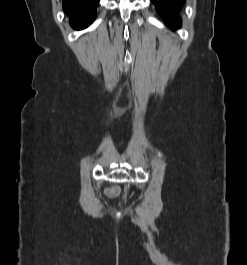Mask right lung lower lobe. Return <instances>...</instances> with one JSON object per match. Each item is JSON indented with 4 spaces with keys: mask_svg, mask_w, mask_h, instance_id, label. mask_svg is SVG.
Returning a JSON list of instances; mask_svg holds the SVG:
<instances>
[{
    "mask_svg": "<svg viewBox=\"0 0 247 265\" xmlns=\"http://www.w3.org/2000/svg\"><path fill=\"white\" fill-rule=\"evenodd\" d=\"M99 0H63V9L70 16L75 29L89 26L95 19Z\"/></svg>",
    "mask_w": 247,
    "mask_h": 265,
    "instance_id": "right-lung-lower-lobe-1",
    "label": "right lung lower lobe"
}]
</instances>
